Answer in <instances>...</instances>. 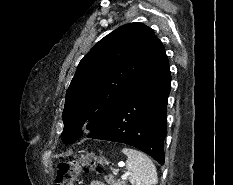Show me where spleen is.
Here are the masks:
<instances>
[{
	"instance_id": "3e777b00",
	"label": "spleen",
	"mask_w": 233,
	"mask_h": 185,
	"mask_svg": "<svg viewBox=\"0 0 233 185\" xmlns=\"http://www.w3.org/2000/svg\"><path fill=\"white\" fill-rule=\"evenodd\" d=\"M122 153L127 156L126 167L131 171L129 180L132 185L157 184L156 167L146 154L132 148H123Z\"/></svg>"
}]
</instances>
